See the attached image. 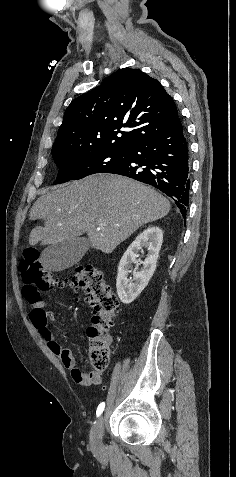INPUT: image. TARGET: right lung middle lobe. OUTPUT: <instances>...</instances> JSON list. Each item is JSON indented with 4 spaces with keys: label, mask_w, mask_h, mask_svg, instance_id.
Returning <instances> with one entry per match:
<instances>
[{
    "label": "right lung middle lobe",
    "mask_w": 236,
    "mask_h": 477,
    "mask_svg": "<svg viewBox=\"0 0 236 477\" xmlns=\"http://www.w3.org/2000/svg\"><path fill=\"white\" fill-rule=\"evenodd\" d=\"M60 169L54 184L78 180L96 173L108 171L124 164L126 152L90 148L73 154L53 156Z\"/></svg>",
    "instance_id": "obj_1"
}]
</instances>
